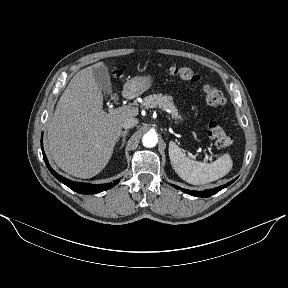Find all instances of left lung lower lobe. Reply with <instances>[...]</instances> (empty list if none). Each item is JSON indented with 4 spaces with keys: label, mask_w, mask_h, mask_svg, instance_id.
<instances>
[{
    "label": "left lung lower lobe",
    "mask_w": 288,
    "mask_h": 288,
    "mask_svg": "<svg viewBox=\"0 0 288 288\" xmlns=\"http://www.w3.org/2000/svg\"><path fill=\"white\" fill-rule=\"evenodd\" d=\"M237 179V178H236ZM236 179L228 182L227 184H224L220 187H216V188H213V189H208V190H204V191H190V190H187V189H183V188H180L178 186H175L173 185L176 189H181L182 191L186 192L187 194H190V195H193V196H197V197H210L212 196L213 194H216L217 192H219L220 190H222L223 188L229 186L230 184H232Z\"/></svg>",
    "instance_id": "1"
}]
</instances>
